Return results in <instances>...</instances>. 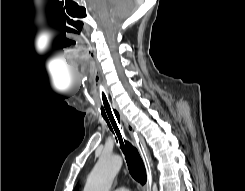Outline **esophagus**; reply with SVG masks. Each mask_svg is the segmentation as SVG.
<instances>
[{
  "mask_svg": "<svg viewBox=\"0 0 245 191\" xmlns=\"http://www.w3.org/2000/svg\"><path fill=\"white\" fill-rule=\"evenodd\" d=\"M121 120L123 121L127 131L131 135L141 157L145 165L146 169V175H147V180L145 184V188L147 191H151L152 187V169H151V161H150V156L149 152L147 149V146L145 144V141L141 134L138 132V130L134 127V125L128 120V118L121 112L119 111Z\"/></svg>",
  "mask_w": 245,
  "mask_h": 191,
  "instance_id": "obj_1",
  "label": "esophagus"
}]
</instances>
